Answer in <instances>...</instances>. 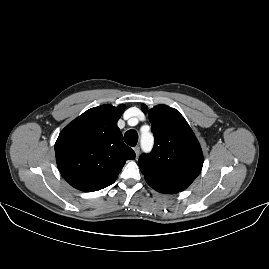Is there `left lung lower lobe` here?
<instances>
[{"label": "left lung lower lobe", "instance_id": "0a47b994", "mask_svg": "<svg viewBox=\"0 0 269 269\" xmlns=\"http://www.w3.org/2000/svg\"><path fill=\"white\" fill-rule=\"evenodd\" d=\"M147 183L156 191L165 193V194L177 193L187 188L180 185H168V184L157 183L151 180H147Z\"/></svg>", "mask_w": 269, "mask_h": 269}]
</instances>
